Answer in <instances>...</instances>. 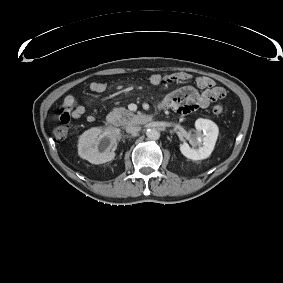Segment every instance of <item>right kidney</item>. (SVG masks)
<instances>
[{
	"mask_svg": "<svg viewBox=\"0 0 283 283\" xmlns=\"http://www.w3.org/2000/svg\"><path fill=\"white\" fill-rule=\"evenodd\" d=\"M117 136L112 128H91L78 141V154L92 164H103L115 158Z\"/></svg>",
	"mask_w": 283,
	"mask_h": 283,
	"instance_id": "1",
	"label": "right kidney"
}]
</instances>
